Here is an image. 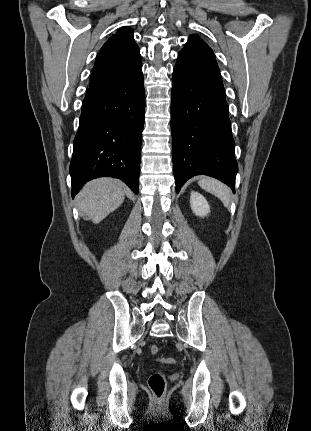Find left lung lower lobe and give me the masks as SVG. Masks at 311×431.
Listing matches in <instances>:
<instances>
[{"instance_id":"0a47b994","label":"left lung lower lobe","mask_w":311,"mask_h":431,"mask_svg":"<svg viewBox=\"0 0 311 431\" xmlns=\"http://www.w3.org/2000/svg\"><path fill=\"white\" fill-rule=\"evenodd\" d=\"M171 99L176 192L189 178L204 174L221 180L235 193L238 164L215 58L181 50L173 71Z\"/></svg>"}]
</instances>
